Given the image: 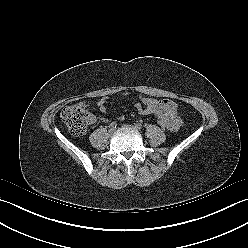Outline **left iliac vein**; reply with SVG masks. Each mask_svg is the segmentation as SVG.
I'll use <instances>...</instances> for the list:
<instances>
[{
  "label": "left iliac vein",
  "instance_id": "obj_1",
  "mask_svg": "<svg viewBox=\"0 0 248 248\" xmlns=\"http://www.w3.org/2000/svg\"><path fill=\"white\" fill-rule=\"evenodd\" d=\"M123 127H128V128H132L134 130H138V128L136 126H133V125H123Z\"/></svg>",
  "mask_w": 248,
  "mask_h": 248
}]
</instances>
